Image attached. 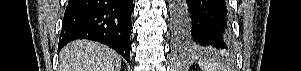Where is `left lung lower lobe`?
Wrapping results in <instances>:
<instances>
[{
  "label": "left lung lower lobe",
  "mask_w": 301,
  "mask_h": 71,
  "mask_svg": "<svg viewBox=\"0 0 301 71\" xmlns=\"http://www.w3.org/2000/svg\"><path fill=\"white\" fill-rule=\"evenodd\" d=\"M170 12L177 43L194 48L231 49V21L226 0H172Z\"/></svg>",
  "instance_id": "obj_1"
}]
</instances>
